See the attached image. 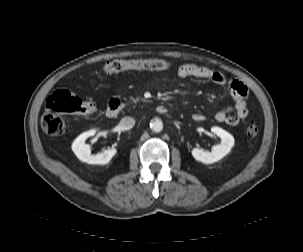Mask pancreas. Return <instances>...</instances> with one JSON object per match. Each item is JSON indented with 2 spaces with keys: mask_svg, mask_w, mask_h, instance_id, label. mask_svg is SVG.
I'll use <instances>...</instances> for the list:
<instances>
[{
  "mask_svg": "<svg viewBox=\"0 0 303 252\" xmlns=\"http://www.w3.org/2000/svg\"><path fill=\"white\" fill-rule=\"evenodd\" d=\"M131 100L133 103H137L139 101V99H134V98H131Z\"/></svg>",
  "mask_w": 303,
  "mask_h": 252,
  "instance_id": "pancreas-1",
  "label": "pancreas"
}]
</instances>
